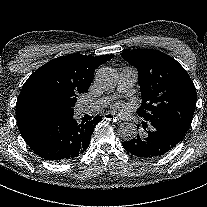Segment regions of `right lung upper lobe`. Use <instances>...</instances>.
Masks as SVG:
<instances>
[{"label":"right lung upper lobe","instance_id":"obj_1","mask_svg":"<svg viewBox=\"0 0 207 207\" xmlns=\"http://www.w3.org/2000/svg\"><path fill=\"white\" fill-rule=\"evenodd\" d=\"M113 57L71 54L38 68L24 83L16 103L22 137L72 116L76 97L88 90L95 69Z\"/></svg>","mask_w":207,"mask_h":207}]
</instances>
